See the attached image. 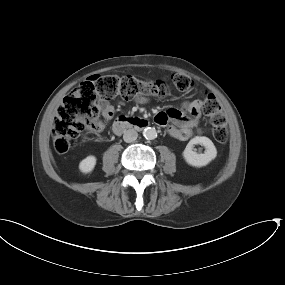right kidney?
Here are the masks:
<instances>
[{"label": "right kidney", "instance_id": "right-kidney-1", "mask_svg": "<svg viewBox=\"0 0 285 285\" xmlns=\"http://www.w3.org/2000/svg\"><path fill=\"white\" fill-rule=\"evenodd\" d=\"M96 157L93 155L87 156L79 164V169L82 173H90L96 165Z\"/></svg>", "mask_w": 285, "mask_h": 285}]
</instances>
